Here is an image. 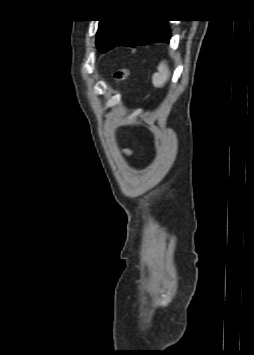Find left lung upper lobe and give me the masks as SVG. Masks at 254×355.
<instances>
[{
	"instance_id": "5c2ea615",
	"label": "left lung upper lobe",
	"mask_w": 254,
	"mask_h": 355,
	"mask_svg": "<svg viewBox=\"0 0 254 355\" xmlns=\"http://www.w3.org/2000/svg\"><path fill=\"white\" fill-rule=\"evenodd\" d=\"M130 20H103L99 22L96 46L102 53L112 49L120 39L123 30Z\"/></svg>"
}]
</instances>
